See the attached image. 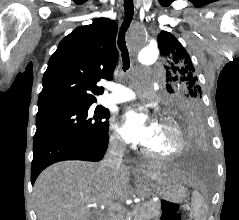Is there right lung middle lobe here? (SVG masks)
<instances>
[{
  "label": "right lung middle lobe",
  "mask_w": 239,
  "mask_h": 220,
  "mask_svg": "<svg viewBox=\"0 0 239 220\" xmlns=\"http://www.w3.org/2000/svg\"><path fill=\"white\" fill-rule=\"evenodd\" d=\"M60 106L38 110L34 141L51 137L75 138L88 141L103 140L109 123V110L102 106Z\"/></svg>",
  "instance_id": "dd1d6c3e"
}]
</instances>
